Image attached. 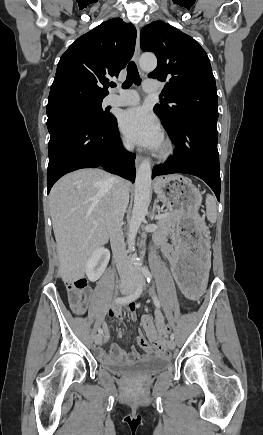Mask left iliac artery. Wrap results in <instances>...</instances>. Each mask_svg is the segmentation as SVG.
Wrapping results in <instances>:
<instances>
[{
	"instance_id": "left-iliac-artery-1",
	"label": "left iliac artery",
	"mask_w": 263,
	"mask_h": 435,
	"mask_svg": "<svg viewBox=\"0 0 263 435\" xmlns=\"http://www.w3.org/2000/svg\"><path fill=\"white\" fill-rule=\"evenodd\" d=\"M141 271H142L143 275L145 276V278L147 279V282L150 283L152 280V275H151L150 271L146 267H142ZM153 302L157 308L160 307V302H159L157 296L155 295V293H153ZM174 338H175V335L172 333L170 335V339L174 340Z\"/></svg>"
}]
</instances>
